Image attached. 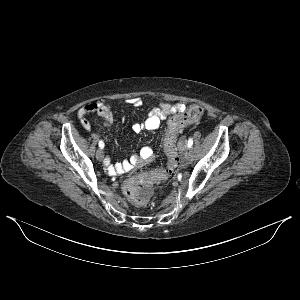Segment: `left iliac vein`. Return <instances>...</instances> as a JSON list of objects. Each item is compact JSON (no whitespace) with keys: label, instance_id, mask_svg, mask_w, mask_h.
I'll list each match as a JSON object with an SVG mask.
<instances>
[{"label":"left iliac vein","instance_id":"obj_1","mask_svg":"<svg viewBox=\"0 0 300 300\" xmlns=\"http://www.w3.org/2000/svg\"><path fill=\"white\" fill-rule=\"evenodd\" d=\"M185 156H186L187 162L188 163H192V161H193V153H192V151L190 149L186 150Z\"/></svg>","mask_w":300,"mask_h":300}]
</instances>
